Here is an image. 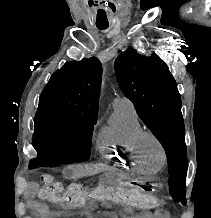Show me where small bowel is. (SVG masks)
<instances>
[{
	"label": "small bowel",
	"instance_id": "obj_1",
	"mask_svg": "<svg viewBox=\"0 0 211 218\" xmlns=\"http://www.w3.org/2000/svg\"><path fill=\"white\" fill-rule=\"evenodd\" d=\"M25 197H26L29 205H31L33 208L40 210V211H44L47 209V207L44 204H42L39 200V199H41L40 190L38 189V187L36 185L30 186L26 190ZM103 204L111 205L110 203H107V202H104ZM92 205H94V204H92Z\"/></svg>",
	"mask_w": 211,
	"mask_h": 218
}]
</instances>
